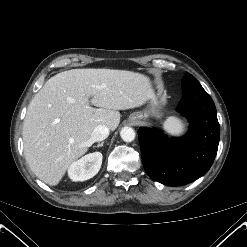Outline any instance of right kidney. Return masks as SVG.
Here are the masks:
<instances>
[{"label": "right kidney", "instance_id": "obj_1", "mask_svg": "<svg viewBox=\"0 0 247 247\" xmlns=\"http://www.w3.org/2000/svg\"><path fill=\"white\" fill-rule=\"evenodd\" d=\"M102 158L100 152H94L74 161L68 168L69 178L76 182L94 177L101 168Z\"/></svg>", "mask_w": 247, "mask_h": 247}]
</instances>
